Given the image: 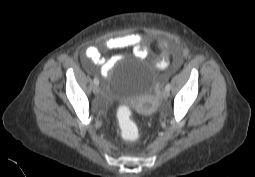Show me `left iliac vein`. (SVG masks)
I'll return each mask as SVG.
<instances>
[{"mask_svg":"<svg viewBox=\"0 0 255 177\" xmlns=\"http://www.w3.org/2000/svg\"><path fill=\"white\" fill-rule=\"evenodd\" d=\"M169 95H170L169 90L164 89L163 92H162V96H163L164 98H168Z\"/></svg>","mask_w":255,"mask_h":177,"instance_id":"4c4485c4","label":"left iliac vein"}]
</instances>
